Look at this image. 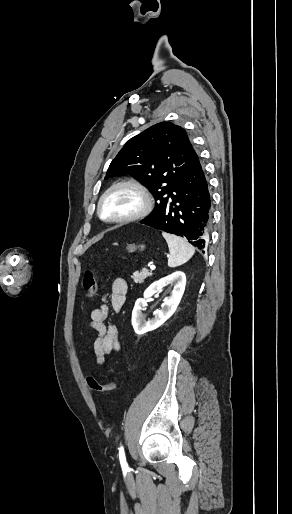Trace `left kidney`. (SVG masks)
<instances>
[{
  "label": "left kidney",
  "instance_id": "obj_1",
  "mask_svg": "<svg viewBox=\"0 0 292 514\" xmlns=\"http://www.w3.org/2000/svg\"><path fill=\"white\" fill-rule=\"evenodd\" d=\"M174 286L173 292L169 298H165L163 300L164 304H162L161 310H155L153 312L155 318L152 320H145L144 314H142V310H144L146 298H151L153 294H157L159 290L165 288V286ZM186 286V276L184 272H174V274H170V276H166V278H161L158 282H153L147 290L144 292V298H139L137 302H135V306L132 312V326L138 334V336H142V334H146V332H152V330H156L159 326H162L168 318H171L172 314H174L178 304H180V300L184 294Z\"/></svg>",
  "mask_w": 292,
  "mask_h": 514
}]
</instances>
